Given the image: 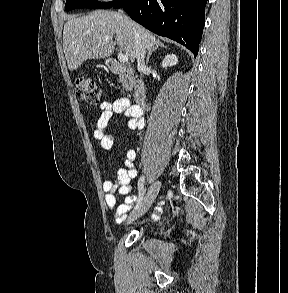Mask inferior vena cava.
Masks as SVG:
<instances>
[{"label":"inferior vena cava","instance_id":"inferior-vena-cava-1","mask_svg":"<svg viewBox=\"0 0 288 293\" xmlns=\"http://www.w3.org/2000/svg\"><path fill=\"white\" fill-rule=\"evenodd\" d=\"M130 24H131V26L133 28V31H134V34H135L137 68H138L139 71L143 72L146 69V64H145V61H144L145 49L142 46L140 36H139L135 26L133 25L132 22H130Z\"/></svg>","mask_w":288,"mask_h":293}]
</instances>
